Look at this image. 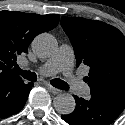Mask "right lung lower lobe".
Here are the masks:
<instances>
[{"instance_id": "1", "label": "right lung lower lobe", "mask_w": 125, "mask_h": 125, "mask_svg": "<svg viewBox=\"0 0 125 125\" xmlns=\"http://www.w3.org/2000/svg\"><path fill=\"white\" fill-rule=\"evenodd\" d=\"M33 83L22 79L0 83V118L19 112L25 105Z\"/></svg>"}]
</instances>
